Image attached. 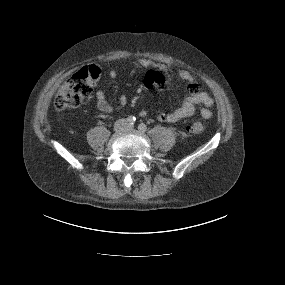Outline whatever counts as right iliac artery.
<instances>
[{
    "instance_id": "obj_1",
    "label": "right iliac artery",
    "mask_w": 285,
    "mask_h": 285,
    "mask_svg": "<svg viewBox=\"0 0 285 285\" xmlns=\"http://www.w3.org/2000/svg\"><path fill=\"white\" fill-rule=\"evenodd\" d=\"M136 118L134 116H129L127 118V122L131 125H133L135 123Z\"/></svg>"
}]
</instances>
